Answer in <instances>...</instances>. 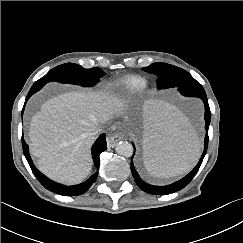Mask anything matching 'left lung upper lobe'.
<instances>
[{
    "mask_svg": "<svg viewBox=\"0 0 243 243\" xmlns=\"http://www.w3.org/2000/svg\"><path fill=\"white\" fill-rule=\"evenodd\" d=\"M146 72L158 76V88L166 89L170 87H188L199 84L187 71L166 63H153L145 67Z\"/></svg>",
    "mask_w": 243,
    "mask_h": 243,
    "instance_id": "5c2ea615",
    "label": "left lung upper lobe"
}]
</instances>
